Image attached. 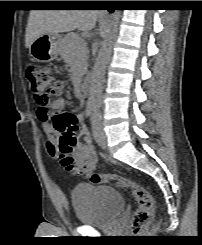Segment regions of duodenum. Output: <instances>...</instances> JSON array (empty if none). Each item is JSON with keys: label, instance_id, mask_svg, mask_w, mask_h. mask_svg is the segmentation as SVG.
Segmentation results:
<instances>
[{"label": "duodenum", "instance_id": "1", "mask_svg": "<svg viewBox=\"0 0 202 245\" xmlns=\"http://www.w3.org/2000/svg\"><path fill=\"white\" fill-rule=\"evenodd\" d=\"M90 87V77H84L80 82V92L86 93Z\"/></svg>", "mask_w": 202, "mask_h": 245}]
</instances>
